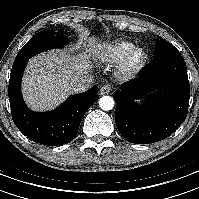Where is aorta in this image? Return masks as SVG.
Masks as SVG:
<instances>
[{
  "label": "aorta",
  "instance_id": "obj_1",
  "mask_svg": "<svg viewBox=\"0 0 199 199\" xmlns=\"http://www.w3.org/2000/svg\"><path fill=\"white\" fill-rule=\"evenodd\" d=\"M115 101L111 96H102L99 99V106L104 111L112 110L114 107Z\"/></svg>",
  "mask_w": 199,
  "mask_h": 199
}]
</instances>
